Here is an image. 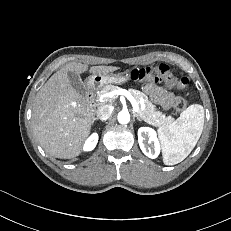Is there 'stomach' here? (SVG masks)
<instances>
[{
    "label": "stomach",
    "mask_w": 231,
    "mask_h": 231,
    "mask_svg": "<svg viewBox=\"0 0 231 231\" xmlns=\"http://www.w3.org/2000/svg\"><path fill=\"white\" fill-rule=\"evenodd\" d=\"M128 77L123 74H93L87 79V84L92 87H102L105 84H123Z\"/></svg>",
    "instance_id": "0dacf381"
}]
</instances>
